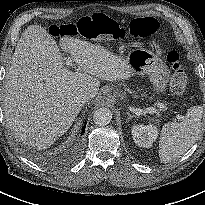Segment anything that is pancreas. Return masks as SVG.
Here are the masks:
<instances>
[{"label":"pancreas","instance_id":"cf45deb5","mask_svg":"<svg viewBox=\"0 0 205 205\" xmlns=\"http://www.w3.org/2000/svg\"><path fill=\"white\" fill-rule=\"evenodd\" d=\"M154 109H156L155 107H152ZM157 110V115H159V112L161 111V109H156Z\"/></svg>","mask_w":205,"mask_h":205}]
</instances>
